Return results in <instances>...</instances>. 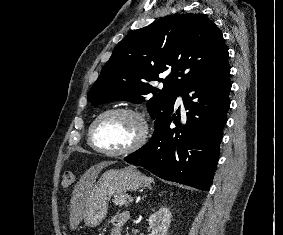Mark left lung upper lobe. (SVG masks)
I'll return each mask as SVG.
<instances>
[{
  "mask_svg": "<svg viewBox=\"0 0 283 235\" xmlns=\"http://www.w3.org/2000/svg\"><path fill=\"white\" fill-rule=\"evenodd\" d=\"M228 59L221 31L203 14L169 15L135 30L114 48L88 93L99 105L111 101L147 102L155 128L173 111L181 88ZM171 68L170 74H159ZM163 82V89L156 87Z\"/></svg>",
  "mask_w": 283,
  "mask_h": 235,
  "instance_id": "left-lung-upper-lobe-1",
  "label": "left lung upper lobe"
}]
</instances>
